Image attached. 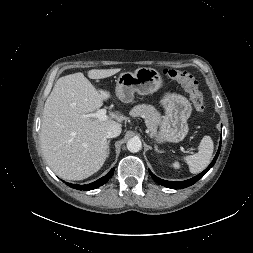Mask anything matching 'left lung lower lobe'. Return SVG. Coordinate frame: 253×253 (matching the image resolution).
<instances>
[{
	"mask_svg": "<svg viewBox=\"0 0 253 253\" xmlns=\"http://www.w3.org/2000/svg\"><path fill=\"white\" fill-rule=\"evenodd\" d=\"M220 149H221V142H220L217 154L214 157L211 164L203 172H201L197 176H195L191 179L185 180V181H179V182L166 181V180H162V179L158 178L157 176H155L150 170H149V172H150L152 178L154 179V181L159 183L160 185L166 186V187L171 188V189L186 188V187L191 186L194 183H196L215 164V162L217 160V157L219 155Z\"/></svg>",
	"mask_w": 253,
	"mask_h": 253,
	"instance_id": "1",
	"label": "left lung lower lobe"
}]
</instances>
